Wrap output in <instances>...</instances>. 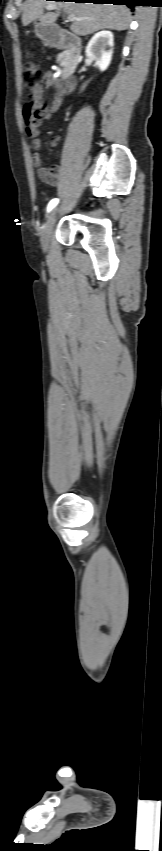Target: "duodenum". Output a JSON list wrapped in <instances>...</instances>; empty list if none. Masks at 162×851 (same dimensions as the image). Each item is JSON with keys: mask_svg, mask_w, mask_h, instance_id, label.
Here are the masks:
<instances>
[{"mask_svg": "<svg viewBox=\"0 0 162 851\" xmlns=\"http://www.w3.org/2000/svg\"><path fill=\"white\" fill-rule=\"evenodd\" d=\"M48 40L51 46L64 48L68 51L67 67L63 71L65 78L70 77L79 64L82 52L81 40L74 34L64 29H53L50 31ZM63 83V82H62Z\"/></svg>", "mask_w": 162, "mask_h": 851, "instance_id": "duodenum-1", "label": "duodenum"}]
</instances>
